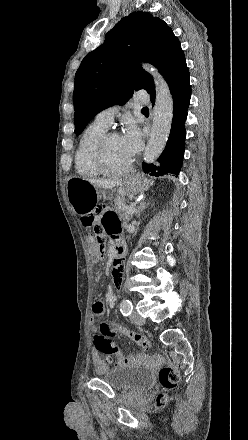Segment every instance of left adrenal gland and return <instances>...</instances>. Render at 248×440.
Returning a JSON list of instances; mask_svg holds the SVG:
<instances>
[{"mask_svg":"<svg viewBox=\"0 0 248 440\" xmlns=\"http://www.w3.org/2000/svg\"><path fill=\"white\" fill-rule=\"evenodd\" d=\"M148 203L146 204L145 199H143L140 203L139 206L137 207L136 210V217H139L141 215V212L147 207Z\"/></svg>","mask_w":248,"mask_h":440,"instance_id":"left-adrenal-gland-1","label":"left adrenal gland"}]
</instances>
